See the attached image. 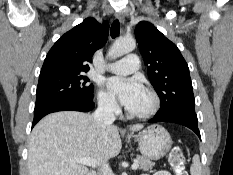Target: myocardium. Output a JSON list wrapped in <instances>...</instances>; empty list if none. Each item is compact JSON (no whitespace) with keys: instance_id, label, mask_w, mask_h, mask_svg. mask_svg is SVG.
<instances>
[{"instance_id":"f54148a6","label":"myocardium","mask_w":233,"mask_h":175,"mask_svg":"<svg viewBox=\"0 0 233 175\" xmlns=\"http://www.w3.org/2000/svg\"><path fill=\"white\" fill-rule=\"evenodd\" d=\"M144 93L150 100V106L147 109L140 112H132L129 109H127L126 113L128 117L135 119H148L158 112L161 105L158 94L154 90L149 88L145 89Z\"/></svg>"}]
</instances>
